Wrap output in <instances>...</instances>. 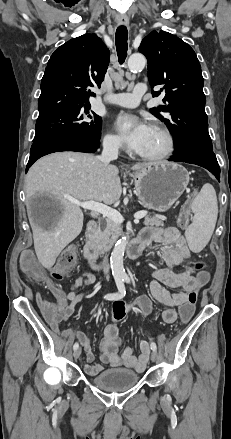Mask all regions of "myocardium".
Segmentation results:
<instances>
[{"label":"myocardium","instance_id":"myocardium-1","mask_svg":"<svg viewBox=\"0 0 231 439\" xmlns=\"http://www.w3.org/2000/svg\"><path fill=\"white\" fill-rule=\"evenodd\" d=\"M153 128L157 129L159 132L162 133V135L164 136L165 140H166V147L165 149L159 153V154H155V155H145V154H140L138 153V156L144 160H149V161H160V160H164L168 157H170L174 150H175V139L173 134L171 133V131L160 124H156L153 126Z\"/></svg>","mask_w":231,"mask_h":439}]
</instances>
